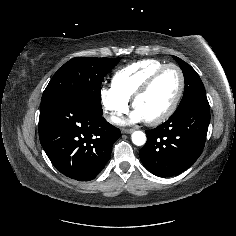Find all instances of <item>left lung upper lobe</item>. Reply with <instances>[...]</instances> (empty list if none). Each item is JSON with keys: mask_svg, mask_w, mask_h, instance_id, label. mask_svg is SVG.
<instances>
[{"mask_svg": "<svg viewBox=\"0 0 236 236\" xmlns=\"http://www.w3.org/2000/svg\"><path fill=\"white\" fill-rule=\"evenodd\" d=\"M173 58L176 62H178L180 68L182 69L185 80L183 98L177 109H180L195 100L206 99L205 88L197 72L180 58L176 56H173Z\"/></svg>", "mask_w": 236, "mask_h": 236, "instance_id": "obj_1", "label": "left lung upper lobe"}]
</instances>
